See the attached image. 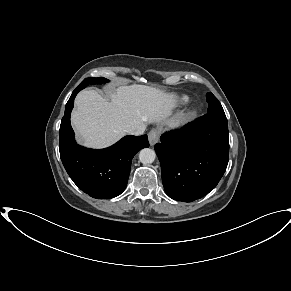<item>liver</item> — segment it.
Listing matches in <instances>:
<instances>
[{"instance_id":"liver-1","label":"liver","mask_w":291,"mask_h":291,"mask_svg":"<svg viewBox=\"0 0 291 291\" xmlns=\"http://www.w3.org/2000/svg\"><path fill=\"white\" fill-rule=\"evenodd\" d=\"M175 105L174 94L144 85L121 86L111 94V101L94 90H83L75 99L71 122L79 142L104 148L132 130L146 128V123L165 121Z\"/></svg>"}]
</instances>
